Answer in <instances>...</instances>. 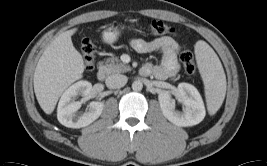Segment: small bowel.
<instances>
[{"label": "small bowel", "instance_id": "small-bowel-1", "mask_svg": "<svg viewBox=\"0 0 267 166\" xmlns=\"http://www.w3.org/2000/svg\"><path fill=\"white\" fill-rule=\"evenodd\" d=\"M130 46L138 53L159 52L162 56L158 65L145 63L141 68L142 75H153L159 80H167L179 72V45L175 37L162 36L151 41L134 38L130 41Z\"/></svg>", "mask_w": 267, "mask_h": 166}]
</instances>
